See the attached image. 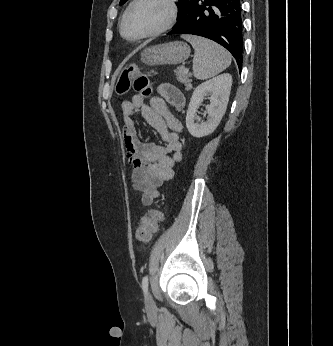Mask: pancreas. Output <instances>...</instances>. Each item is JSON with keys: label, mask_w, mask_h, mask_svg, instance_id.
<instances>
[{"label": "pancreas", "mask_w": 333, "mask_h": 346, "mask_svg": "<svg viewBox=\"0 0 333 346\" xmlns=\"http://www.w3.org/2000/svg\"><path fill=\"white\" fill-rule=\"evenodd\" d=\"M177 80L182 83L187 90H190L192 88L191 85V74L184 72V69L178 68L175 70Z\"/></svg>", "instance_id": "1"}]
</instances>
